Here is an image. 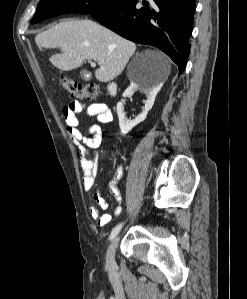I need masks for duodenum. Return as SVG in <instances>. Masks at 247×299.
Instances as JSON below:
<instances>
[{
  "label": "duodenum",
  "mask_w": 247,
  "mask_h": 299,
  "mask_svg": "<svg viewBox=\"0 0 247 299\" xmlns=\"http://www.w3.org/2000/svg\"><path fill=\"white\" fill-rule=\"evenodd\" d=\"M108 91H109V94L111 96H114L117 92V87L115 84H110L109 87H108Z\"/></svg>",
  "instance_id": "obj_1"
}]
</instances>
